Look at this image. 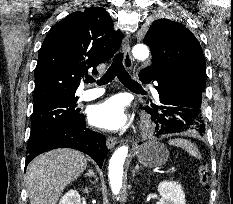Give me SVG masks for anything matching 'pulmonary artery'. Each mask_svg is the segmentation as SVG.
<instances>
[{
  "label": "pulmonary artery",
  "mask_w": 233,
  "mask_h": 204,
  "mask_svg": "<svg viewBox=\"0 0 233 204\" xmlns=\"http://www.w3.org/2000/svg\"><path fill=\"white\" fill-rule=\"evenodd\" d=\"M104 92H105V90L103 88L88 89V90H85L81 94L79 99L81 101H91V100L96 99V98L100 97L101 95H103ZM155 94L157 95L156 92H155Z\"/></svg>",
  "instance_id": "e3ab8cb5"
}]
</instances>
